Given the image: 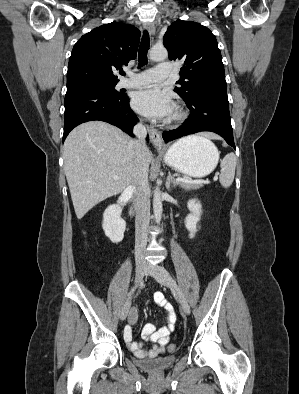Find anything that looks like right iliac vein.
<instances>
[{
    "label": "right iliac vein",
    "instance_id": "obj_1",
    "mask_svg": "<svg viewBox=\"0 0 299 394\" xmlns=\"http://www.w3.org/2000/svg\"><path fill=\"white\" fill-rule=\"evenodd\" d=\"M147 272V265L146 264H137L136 265V277H135V284L136 286L141 282L145 273ZM131 306V299L128 300L124 307L121 310L120 318L121 320H125L128 316L129 310Z\"/></svg>",
    "mask_w": 299,
    "mask_h": 394
}]
</instances>
